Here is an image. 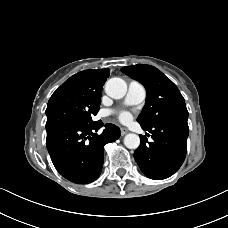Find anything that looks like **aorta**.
<instances>
[{
	"label": "aorta",
	"instance_id": "aorta-1",
	"mask_svg": "<svg viewBox=\"0 0 228 228\" xmlns=\"http://www.w3.org/2000/svg\"><path fill=\"white\" fill-rule=\"evenodd\" d=\"M105 92L111 98H123L127 92V84L121 78H111L105 84ZM124 145L128 149H137L140 145V137L134 133L127 134L124 138Z\"/></svg>",
	"mask_w": 228,
	"mask_h": 228
}]
</instances>
